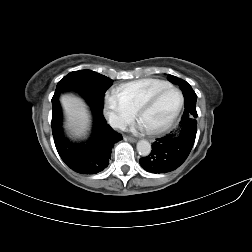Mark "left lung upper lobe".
I'll return each mask as SVG.
<instances>
[{
	"instance_id": "5c2ea615",
	"label": "left lung upper lobe",
	"mask_w": 252,
	"mask_h": 252,
	"mask_svg": "<svg viewBox=\"0 0 252 252\" xmlns=\"http://www.w3.org/2000/svg\"><path fill=\"white\" fill-rule=\"evenodd\" d=\"M167 78L172 82V83H176L178 85H180L181 89L182 88H192L186 81L179 79L177 77H174L172 75H168Z\"/></svg>"
}]
</instances>
